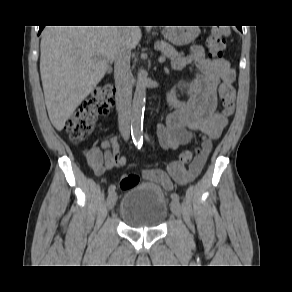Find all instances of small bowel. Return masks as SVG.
Wrapping results in <instances>:
<instances>
[{
    "label": "small bowel",
    "mask_w": 292,
    "mask_h": 292,
    "mask_svg": "<svg viewBox=\"0 0 292 292\" xmlns=\"http://www.w3.org/2000/svg\"><path fill=\"white\" fill-rule=\"evenodd\" d=\"M194 64L191 72L176 88L168 100L175 110L166 122L156 129V138L163 149H176L190 143L197 134L202 136V151L188 168L177 161L170 162L165 170L144 169L146 181L156 183L167 191L176 185L193 181L201 172L212 148V140L218 138L227 120L217 108V87L220 82L232 84L235 70L225 58H208L200 46L191 48L188 55L173 61L176 69ZM87 162L96 175L108 170L122 168L126 158L121 154L116 137L103 140L87 152Z\"/></svg>",
    "instance_id": "1"
}]
</instances>
